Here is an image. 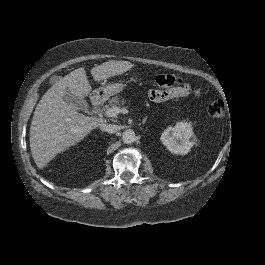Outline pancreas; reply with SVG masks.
Listing matches in <instances>:
<instances>
[{"label":"pancreas","mask_w":265,"mask_h":265,"mask_svg":"<svg viewBox=\"0 0 265 265\" xmlns=\"http://www.w3.org/2000/svg\"><path fill=\"white\" fill-rule=\"evenodd\" d=\"M120 98V95H114V97L108 100L107 104L104 106L106 113L109 112L113 107L124 104V101H121Z\"/></svg>","instance_id":"cf45deb5"}]
</instances>
